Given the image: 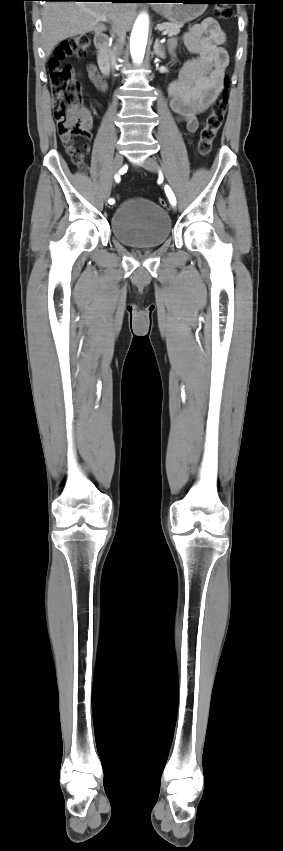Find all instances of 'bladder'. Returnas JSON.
<instances>
[{"label":"bladder","instance_id":"obj_1","mask_svg":"<svg viewBox=\"0 0 283 851\" xmlns=\"http://www.w3.org/2000/svg\"><path fill=\"white\" fill-rule=\"evenodd\" d=\"M113 236L121 243L136 248L162 244L170 235L171 220L167 211L145 198H132L119 204L110 220Z\"/></svg>","mask_w":283,"mask_h":851}]
</instances>
